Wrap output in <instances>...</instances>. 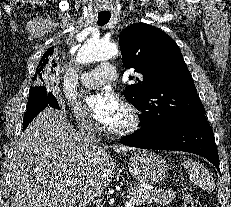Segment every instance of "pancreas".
<instances>
[{
    "instance_id": "pancreas-1",
    "label": "pancreas",
    "mask_w": 231,
    "mask_h": 207,
    "mask_svg": "<svg viewBox=\"0 0 231 207\" xmlns=\"http://www.w3.org/2000/svg\"><path fill=\"white\" fill-rule=\"evenodd\" d=\"M176 196L173 190H163L159 188L146 189L141 187H131L127 189L128 200L135 204L146 202L148 204L155 203L157 205H169Z\"/></svg>"
}]
</instances>
